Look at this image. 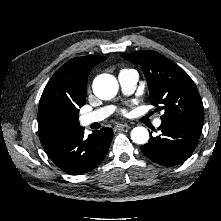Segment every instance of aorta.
<instances>
[{
    "mask_svg": "<svg viewBox=\"0 0 221 221\" xmlns=\"http://www.w3.org/2000/svg\"><path fill=\"white\" fill-rule=\"evenodd\" d=\"M118 81L110 74H101L93 81L94 94L103 100L113 98L118 92ZM131 139L136 144H145L149 139V132L145 127L138 126L132 129Z\"/></svg>",
    "mask_w": 221,
    "mask_h": 221,
    "instance_id": "aorta-1",
    "label": "aorta"
}]
</instances>
